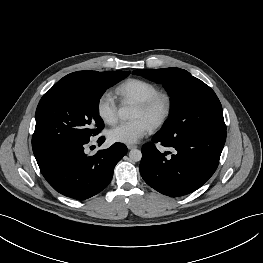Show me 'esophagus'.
<instances>
[{
	"label": "esophagus",
	"instance_id": "34e87169",
	"mask_svg": "<svg viewBox=\"0 0 263 263\" xmlns=\"http://www.w3.org/2000/svg\"><path fill=\"white\" fill-rule=\"evenodd\" d=\"M136 147H137L136 145H127V148H128L129 150L134 149V148H136Z\"/></svg>",
	"mask_w": 263,
	"mask_h": 263
}]
</instances>
